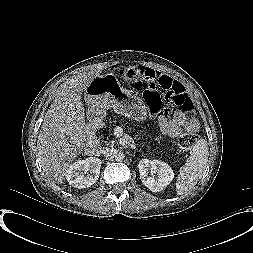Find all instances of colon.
I'll return each instance as SVG.
<instances>
[{"instance_id":"colon-1","label":"colon","mask_w":253,"mask_h":253,"mask_svg":"<svg viewBox=\"0 0 253 253\" xmlns=\"http://www.w3.org/2000/svg\"><path fill=\"white\" fill-rule=\"evenodd\" d=\"M122 78L133 90H139L144 85L145 101L152 115L167 118L170 113L178 108L185 113L193 110V103L181 85H171L159 78L156 73H151L143 66L134 65L118 70ZM197 141L193 133H184L177 139V152L184 154L189 151Z\"/></svg>"}]
</instances>
